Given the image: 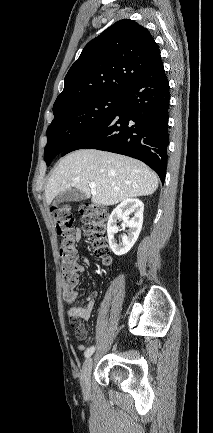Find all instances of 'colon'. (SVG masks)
Listing matches in <instances>:
<instances>
[{
	"label": "colon",
	"instance_id": "obj_1",
	"mask_svg": "<svg viewBox=\"0 0 213 433\" xmlns=\"http://www.w3.org/2000/svg\"><path fill=\"white\" fill-rule=\"evenodd\" d=\"M81 215L84 223V231L93 254L104 263H109V247L106 239L108 213L105 207L91 202H85L81 206ZM52 219L57 236L60 238L59 255L61 259V284L63 287V299L71 304L76 299L75 286L76 275V249L73 239L74 216L69 206L63 205L52 211ZM70 326L76 336L81 338L83 326L79 319L71 318Z\"/></svg>",
	"mask_w": 213,
	"mask_h": 433
}]
</instances>
